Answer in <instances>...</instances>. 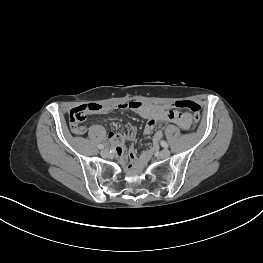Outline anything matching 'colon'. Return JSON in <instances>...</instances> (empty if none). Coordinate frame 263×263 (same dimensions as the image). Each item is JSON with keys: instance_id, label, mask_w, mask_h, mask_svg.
Listing matches in <instances>:
<instances>
[{"instance_id": "1", "label": "colon", "mask_w": 263, "mask_h": 263, "mask_svg": "<svg viewBox=\"0 0 263 263\" xmlns=\"http://www.w3.org/2000/svg\"><path fill=\"white\" fill-rule=\"evenodd\" d=\"M175 107L182 110H187L191 113L193 121L197 122L200 119L201 106L192 100H181L175 103ZM102 106L96 103H89L73 108L69 113V121L72 131L76 134H83L86 129L80 123L86 118L88 113L99 111Z\"/></svg>"}]
</instances>
